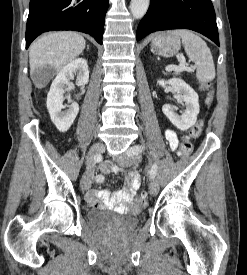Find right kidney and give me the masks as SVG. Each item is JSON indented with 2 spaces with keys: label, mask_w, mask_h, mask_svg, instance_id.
Segmentation results:
<instances>
[{
  "label": "right kidney",
  "mask_w": 247,
  "mask_h": 275,
  "mask_svg": "<svg viewBox=\"0 0 247 275\" xmlns=\"http://www.w3.org/2000/svg\"><path fill=\"white\" fill-rule=\"evenodd\" d=\"M77 76V86H84L89 80V70L85 59L78 58L64 66L53 80L50 91L47 95V109L52 122L61 132H66L73 124L79 105L72 102L70 105H64L63 94L67 87L71 86L70 80ZM67 107L66 111H62Z\"/></svg>",
  "instance_id": "right-kidney-1"
}]
</instances>
